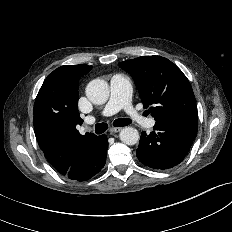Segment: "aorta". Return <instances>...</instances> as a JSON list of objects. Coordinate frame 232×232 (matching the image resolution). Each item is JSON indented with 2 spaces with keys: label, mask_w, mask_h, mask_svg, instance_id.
<instances>
[{
  "label": "aorta",
  "mask_w": 232,
  "mask_h": 232,
  "mask_svg": "<svg viewBox=\"0 0 232 232\" xmlns=\"http://www.w3.org/2000/svg\"><path fill=\"white\" fill-rule=\"evenodd\" d=\"M109 86L102 79H94L90 81L86 87V96L96 105H102L109 98ZM120 140L126 145H135L139 140V133L133 127H125L120 132Z\"/></svg>",
  "instance_id": "aorta-1"
}]
</instances>
